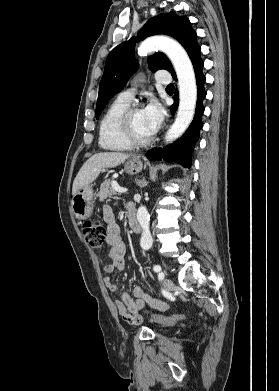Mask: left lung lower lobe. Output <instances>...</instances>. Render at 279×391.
I'll return each mask as SVG.
<instances>
[{
    "instance_id": "left-lung-lower-lobe-1",
    "label": "left lung lower lobe",
    "mask_w": 279,
    "mask_h": 391,
    "mask_svg": "<svg viewBox=\"0 0 279 391\" xmlns=\"http://www.w3.org/2000/svg\"><path fill=\"white\" fill-rule=\"evenodd\" d=\"M201 48L199 47L190 58L195 71L197 82V104L195 109V115L192 123L183 137L173 145L167 147L154 148L147 152L148 159L155 161L164 159L167 162H178L184 167L191 166V153L199 138V131L202 128V114L204 113V106L202 104L203 99L206 97V91L204 89L205 76L202 73L203 61L200 57ZM176 79V75L173 76ZM174 104L170 107L173 114L178 107V92L176 90L174 95Z\"/></svg>"
}]
</instances>
